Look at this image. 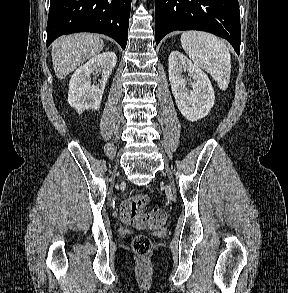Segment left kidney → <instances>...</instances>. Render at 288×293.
<instances>
[{"mask_svg": "<svg viewBox=\"0 0 288 293\" xmlns=\"http://www.w3.org/2000/svg\"><path fill=\"white\" fill-rule=\"evenodd\" d=\"M182 72H188L190 88ZM169 80L181 114L190 121L207 116L214 105L215 94L208 76L179 51L169 56Z\"/></svg>", "mask_w": 288, "mask_h": 293, "instance_id": "1", "label": "left kidney"}]
</instances>
